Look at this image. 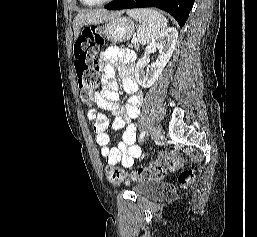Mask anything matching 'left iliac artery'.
<instances>
[{
	"label": "left iliac artery",
	"instance_id": "1",
	"mask_svg": "<svg viewBox=\"0 0 257 237\" xmlns=\"http://www.w3.org/2000/svg\"><path fill=\"white\" fill-rule=\"evenodd\" d=\"M145 134H146V131H142V132H141V134H140V136H139V140H140V141L144 139Z\"/></svg>",
	"mask_w": 257,
	"mask_h": 237
}]
</instances>
